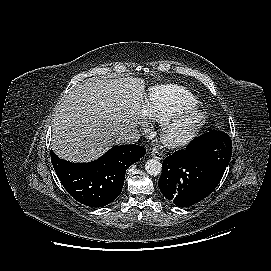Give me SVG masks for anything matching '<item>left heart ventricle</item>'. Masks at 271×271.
I'll return each instance as SVG.
<instances>
[{
    "mask_svg": "<svg viewBox=\"0 0 271 271\" xmlns=\"http://www.w3.org/2000/svg\"><path fill=\"white\" fill-rule=\"evenodd\" d=\"M189 123L188 122H182L181 124H179L176 129H175V133L179 134L182 133L184 130H186L188 128Z\"/></svg>",
    "mask_w": 271,
    "mask_h": 271,
    "instance_id": "left-heart-ventricle-1",
    "label": "left heart ventricle"
}]
</instances>
